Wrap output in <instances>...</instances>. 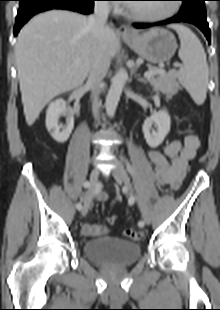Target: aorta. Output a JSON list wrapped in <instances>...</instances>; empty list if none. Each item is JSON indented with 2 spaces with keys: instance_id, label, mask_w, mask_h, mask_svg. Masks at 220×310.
Returning <instances> with one entry per match:
<instances>
[{
  "instance_id": "obj_1",
  "label": "aorta",
  "mask_w": 220,
  "mask_h": 310,
  "mask_svg": "<svg viewBox=\"0 0 220 310\" xmlns=\"http://www.w3.org/2000/svg\"><path fill=\"white\" fill-rule=\"evenodd\" d=\"M127 77H128L127 71L121 68L119 69V71L116 73V75L112 80L105 102L106 113L111 118L115 114Z\"/></svg>"
}]
</instances>
